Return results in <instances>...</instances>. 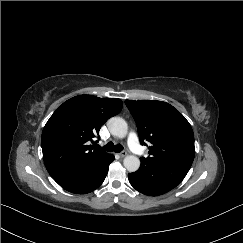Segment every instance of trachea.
<instances>
[{
	"mask_svg": "<svg viewBox=\"0 0 243 243\" xmlns=\"http://www.w3.org/2000/svg\"><path fill=\"white\" fill-rule=\"evenodd\" d=\"M106 151H109V152H121L123 150V146L121 144H117V145H114L113 142H109L107 143L104 147H103Z\"/></svg>",
	"mask_w": 243,
	"mask_h": 243,
	"instance_id": "1",
	"label": "trachea"
}]
</instances>
